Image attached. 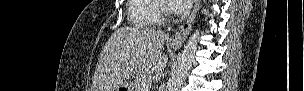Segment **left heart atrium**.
I'll return each mask as SVG.
<instances>
[{"label": "left heart atrium", "mask_w": 304, "mask_h": 91, "mask_svg": "<svg viewBox=\"0 0 304 91\" xmlns=\"http://www.w3.org/2000/svg\"><path fill=\"white\" fill-rule=\"evenodd\" d=\"M170 6L173 12L182 14L191 7V0H170Z\"/></svg>", "instance_id": "1"}]
</instances>
